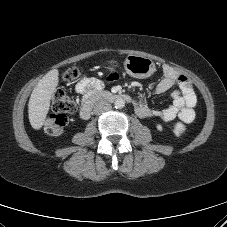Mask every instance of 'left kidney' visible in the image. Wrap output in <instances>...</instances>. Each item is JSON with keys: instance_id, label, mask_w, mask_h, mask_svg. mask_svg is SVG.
<instances>
[{"instance_id": "left-kidney-1", "label": "left kidney", "mask_w": 227, "mask_h": 227, "mask_svg": "<svg viewBox=\"0 0 227 227\" xmlns=\"http://www.w3.org/2000/svg\"><path fill=\"white\" fill-rule=\"evenodd\" d=\"M156 128H157L158 131H162L163 130V127H162L161 124H157Z\"/></svg>"}]
</instances>
